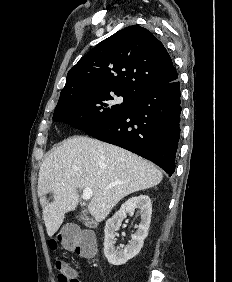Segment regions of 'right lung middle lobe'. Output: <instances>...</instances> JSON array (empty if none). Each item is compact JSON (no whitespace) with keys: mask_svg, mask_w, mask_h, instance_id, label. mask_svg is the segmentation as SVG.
Instances as JSON below:
<instances>
[{"mask_svg":"<svg viewBox=\"0 0 232 282\" xmlns=\"http://www.w3.org/2000/svg\"><path fill=\"white\" fill-rule=\"evenodd\" d=\"M114 96H122L123 102L117 103ZM136 98L137 95L122 90L77 94L58 101L53 120L87 131L128 112Z\"/></svg>","mask_w":232,"mask_h":282,"instance_id":"obj_1","label":"right lung middle lobe"}]
</instances>
